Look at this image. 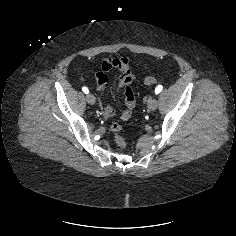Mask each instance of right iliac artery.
Returning a JSON list of instances; mask_svg holds the SVG:
<instances>
[{"label":"right iliac artery","mask_w":236,"mask_h":236,"mask_svg":"<svg viewBox=\"0 0 236 236\" xmlns=\"http://www.w3.org/2000/svg\"><path fill=\"white\" fill-rule=\"evenodd\" d=\"M82 91H83L85 94H88V93H89V90H88L87 87H83V88H82Z\"/></svg>","instance_id":"82829eb1"}]
</instances>
